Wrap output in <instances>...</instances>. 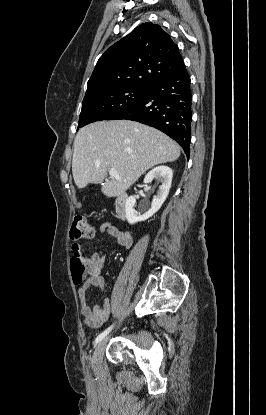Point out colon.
<instances>
[{
	"mask_svg": "<svg viewBox=\"0 0 266 415\" xmlns=\"http://www.w3.org/2000/svg\"><path fill=\"white\" fill-rule=\"evenodd\" d=\"M94 235L93 226L89 223L86 217L76 216L73 220L70 230V237L73 240H80L91 238ZM71 270L73 279L76 283H80L84 277L85 264L82 259L80 251H75L71 258Z\"/></svg>",
	"mask_w": 266,
	"mask_h": 415,
	"instance_id": "colon-1",
	"label": "colon"
}]
</instances>
